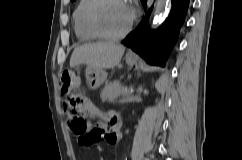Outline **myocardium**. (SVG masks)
I'll list each match as a JSON object with an SVG mask.
<instances>
[{"instance_id": "obj_1", "label": "myocardium", "mask_w": 242, "mask_h": 160, "mask_svg": "<svg viewBox=\"0 0 242 160\" xmlns=\"http://www.w3.org/2000/svg\"><path fill=\"white\" fill-rule=\"evenodd\" d=\"M104 1L105 0H93L92 4L89 6V8L87 10V14H86L87 25L91 29V31L95 35H97L99 38L109 40V41L121 40V39L125 38L132 31L134 24L136 22V13L132 9L131 20L123 32H121L120 34H116V35L108 34L100 28V26L97 22V17H96L97 11Z\"/></svg>"}]
</instances>
